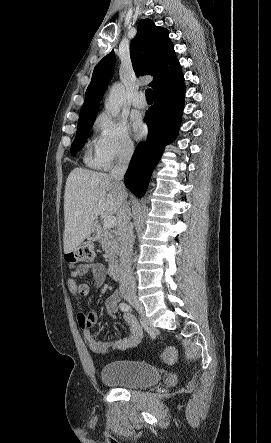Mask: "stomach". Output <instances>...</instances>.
<instances>
[{"instance_id": "obj_1", "label": "stomach", "mask_w": 271, "mask_h": 443, "mask_svg": "<svg viewBox=\"0 0 271 443\" xmlns=\"http://www.w3.org/2000/svg\"><path fill=\"white\" fill-rule=\"evenodd\" d=\"M100 233H101V231H99V227H98L97 223H95L91 233H88V235H87L88 241H97V239H99V237H100Z\"/></svg>"}]
</instances>
